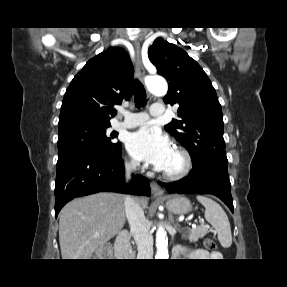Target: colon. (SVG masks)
I'll list each match as a JSON object with an SVG mask.
<instances>
[{
  "mask_svg": "<svg viewBox=\"0 0 287 287\" xmlns=\"http://www.w3.org/2000/svg\"><path fill=\"white\" fill-rule=\"evenodd\" d=\"M204 246L206 249H209V250H214L216 249V243L213 239L211 238H206L203 242Z\"/></svg>",
  "mask_w": 287,
  "mask_h": 287,
  "instance_id": "1",
  "label": "colon"
}]
</instances>
